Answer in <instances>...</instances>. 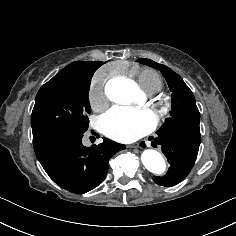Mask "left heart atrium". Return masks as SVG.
I'll use <instances>...</instances> for the list:
<instances>
[{"label":"left heart atrium","instance_id":"1","mask_svg":"<svg viewBox=\"0 0 236 236\" xmlns=\"http://www.w3.org/2000/svg\"><path fill=\"white\" fill-rule=\"evenodd\" d=\"M156 121L150 109L115 106L102 116L101 130L116 141L131 142L148 133Z\"/></svg>","mask_w":236,"mask_h":236}]
</instances>
